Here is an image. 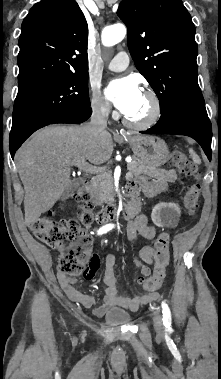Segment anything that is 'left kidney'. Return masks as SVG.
Masks as SVG:
<instances>
[{
	"label": "left kidney",
	"mask_w": 221,
	"mask_h": 379,
	"mask_svg": "<svg viewBox=\"0 0 221 379\" xmlns=\"http://www.w3.org/2000/svg\"><path fill=\"white\" fill-rule=\"evenodd\" d=\"M181 211L175 203L157 204L151 213L152 221L157 226L174 227L179 221Z\"/></svg>",
	"instance_id": "obj_1"
}]
</instances>
